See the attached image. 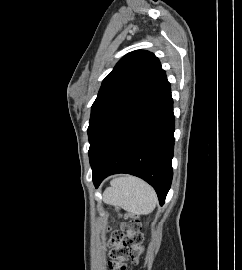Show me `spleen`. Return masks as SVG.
Wrapping results in <instances>:
<instances>
[{"mask_svg": "<svg viewBox=\"0 0 242 270\" xmlns=\"http://www.w3.org/2000/svg\"><path fill=\"white\" fill-rule=\"evenodd\" d=\"M103 201L110 205L120 206L133 214H147L157 203L154 189L143 180L124 176L115 179L111 187L103 194Z\"/></svg>", "mask_w": 242, "mask_h": 270, "instance_id": "spleen-1", "label": "spleen"}]
</instances>
